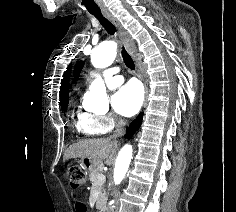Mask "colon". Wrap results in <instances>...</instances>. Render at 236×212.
Segmentation results:
<instances>
[{"label": "colon", "instance_id": "1", "mask_svg": "<svg viewBox=\"0 0 236 212\" xmlns=\"http://www.w3.org/2000/svg\"><path fill=\"white\" fill-rule=\"evenodd\" d=\"M67 176L69 184L73 189L80 188L85 182L84 171L77 165L69 166V168L67 169Z\"/></svg>", "mask_w": 236, "mask_h": 212}]
</instances>
